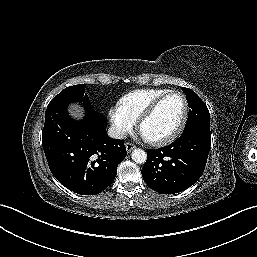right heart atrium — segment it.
Masks as SVG:
<instances>
[{
	"label": "right heart atrium",
	"mask_w": 257,
	"mask_h": 257,
	"mask_svg": "<svg viewBox=\"0 0 257 257\" xmlns=\"http://www.w3.org/2000/svg\"><path fill=\"white\" fill-rule=\"evenodd\" d=\"M108 115L113 133L117 138H124L133 130L135 121L127 114L119 102L110 108Z\"/></svg>",
	"instance_id": "1"
}]
</instances>
